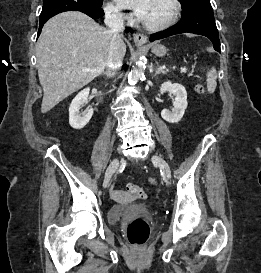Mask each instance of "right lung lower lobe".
Instances as JSON below:
<instances>
[{
    "mask_svg": "<svg viewBox=\"0 0 261 273\" xmlns=\"http://www.w3.org/2000/svg\"><path fill=\"white\" fill-rule=\"evenodd\" d=\"M43 1L44 5H49L53 7L51 10H44L40 14V24L38 30V36L41 33V29L45 22L49 20L51 17L57 15L58 13L65 11H81L93 19L101 18L104 15V11L101 8V5L87 2L86 0H45Z\"/></svg>",
    "mask_w": 261,
    "mask_h": 273,
    "instance_id": "right-lung-lower-lobe-1",
    "label": "right lung lower lobe"
}]
</instances>
